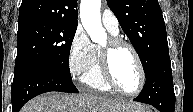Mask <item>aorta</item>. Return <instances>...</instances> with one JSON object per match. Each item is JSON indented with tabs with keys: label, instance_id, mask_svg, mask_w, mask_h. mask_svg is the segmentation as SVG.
<instances>
[{
	"label": "aorta",
	"instance_id": "obj_1",
	"mask_svg": "<svg viewBox=\"0 0 193 112\" xmlns=\"http://www.w3.org/2000/svg\"><path fill=\"white\" fill-rule=\"evenodd\" d=\"M101 0H81L80 18L82 25L95 43L105 41L106 32L101 23Z\"/></svg>",
	"mask_w": 193,
	"mask_h": 112
}]
</instances>
